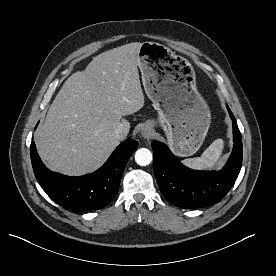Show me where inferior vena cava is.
Listing matches in <instances>:
<instances>
[{
    "label": "inferior vena cava",
    "mask_w": 276,
    "mask_h": 276,
    "mask_svg": "<svg viewBox=\"0 0 276 276\" xmlns=\"http://www.w3.org/2000/svg\"><path fill=\"white\" fill-rule=\"evenodd\" d=\"M129 125L120 123L114 130V136L118 140H122L127 137V134L129 132Z\"/></svg>",
    "instance_id": "obj_1"
}]
</instances>
